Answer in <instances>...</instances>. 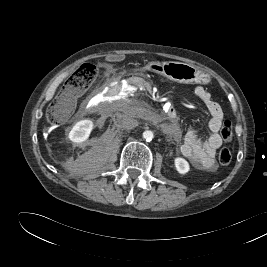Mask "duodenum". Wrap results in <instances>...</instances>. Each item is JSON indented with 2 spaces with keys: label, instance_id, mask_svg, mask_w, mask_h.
Masks as SVG:
<instances>
[{
  "label": "duodenum",
  "instance_id": "duodenum-1",
  "mask_svg": "<svg viewBox=\"0 0 267 267\" xmlns=\"http://www.w3.org/2000/svg\"><path fill=\"white\" fill-rule=\"evenodd\" d=\"M123 94V87L120 83H113L109 89V96L111 98H119ZM164 114L168 119L174 120L176 118V111L173 107H168L164 110Z\"/></svg>",
  "mask_w": 267,
  "mask_h": 267
}]
</instances>
